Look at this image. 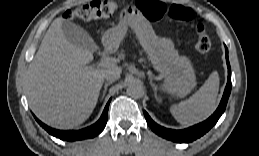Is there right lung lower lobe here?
<instances>
[{"instance_id":"right-lung-lower-lobe-1","label":"right lung lower lobe","mask_w":259,"mask_h":156,"mask_svg":"<svg viewBox=\"0 0 259 156\" xmlns=\"http://www.w3.org/2000/svg\"><path fill=\"white\" fill-rule=\"evenodd\" d=\"M110 100L108 101L107 105L105 106V109L100 117V119L93 125L81 129V130H68V131H62V130H56L51 127H48L47 125L43 124L41 121H39L36 117V121L51 135L62 139L66 141H76L81 139H88L93 138L97 136L99 133L102 132V130L105 128L108 118V108H109Z\"/></svg>"}]
</instances>
